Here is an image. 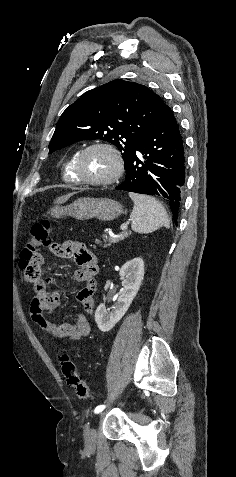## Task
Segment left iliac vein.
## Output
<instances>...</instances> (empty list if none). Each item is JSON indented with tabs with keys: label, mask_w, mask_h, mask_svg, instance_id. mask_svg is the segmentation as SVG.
I'll return each mask as SVG.
<instances>
[{
	"label": "left iliac vein",
	"mask_w": 236,
	"mask_h": 477,
	"mask_svg": "<svg viewBox=\"0 0 236 477\" xmlns=\"http://www.w3.org/2000/svg\"><path fill=\"white\" fill-rule=\"evenodd\" d=\"M111 411L110 409L108 410ZM107 414L106 410H101L95 415L96 420H100V417H105ZM85 446L87 449H94L96 446L97 440V431L94 428L87 426L84 430Z\"/></svg>",
	"instance_id": "left-iliac-vein-1"
}]
</instances>
